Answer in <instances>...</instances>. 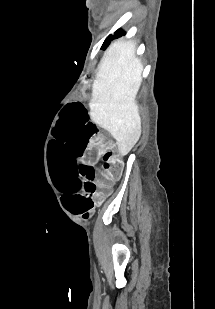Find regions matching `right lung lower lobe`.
I'll list each match as a JSON object with an SVG mask.
<instances>
[{"label": "right lung lower lobe", "mask_w": 215, "mask_h": 309, "mask_svg": "<svg viewBox=\"0 0 215 309\" xmlns=\"http://www.w3.org/2000/svg\"><path fill=\"white\" fill-rule=\"evenodd\" d=\"M120 34H121V31L118 32V35H120Z\"/></svg>", "instance_id": "98d812e1"}]
</instances>
